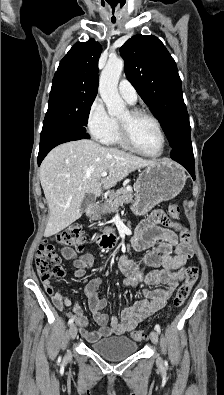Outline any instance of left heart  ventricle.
Wrapping results in <instances>:
<instances>
[{
    "mask_svg": "<svg viewBox=\"0 0 224 395\" xmlns=\"http://www.w3.org/2000/svg\"><path fill=\"white\" fill-rule=\"evenodd\" d=\"M122 121H129L126 111L119 117ZM132 135L136 144L145 152L158 153L161 150L162 139L153 121L146 117H138L131 122Z\"/></svg>",
    "mask_w": 224,
    "mask_h": 395,
    "instance_id": "b2bd125f",
    "label": "left heart ventricle"
}]
</instances>
